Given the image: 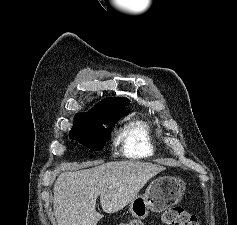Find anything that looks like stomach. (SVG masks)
<instances>
[{
	"label": "stomach",
	"instance_id": "stomach-1",
	"mask_svg": "<svg viewBox=\"0 0 237 225\" xmlns=\"http://www.w3.org/2000/svg\"><path fill=\"white\" fill-rule=\"evenodd\" d=\"M186 184L174 177H159L153 180L144 195L136 196L129 203V212L133 218L144 219L149 210L160 213L177 204L183 197Z\"/></svg>",
	"mask_w": 237,
	"mask_h": 225
}]
</instances>
